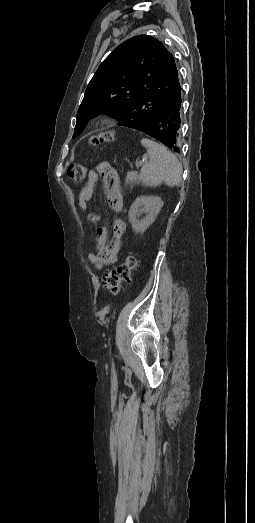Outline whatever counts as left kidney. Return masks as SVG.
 <instances>
[{
    "label": "left kidney",
    "instance_id": "5707ae66",
    "mask_svg": "<svg viewBox=\"0 0 255 523\" xmlns=\"http://www.w3.org/2000/svg\"><path fill=\"white\" fill-rule=\"evenodd\" d=\"M163 204L164 202L158 196H139V198H136L129 210V222L136 234H143L153 224ZM143 212L146 214V218L137 220V216H140Z\"/></svg>",
    "mask_w": 255,
    "mask_h": 523
}]
</instances>
